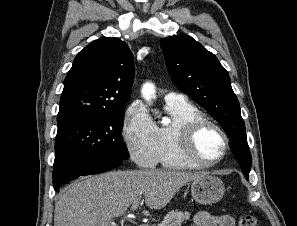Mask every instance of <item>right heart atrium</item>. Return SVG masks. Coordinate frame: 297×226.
Here are the masks:
<instances>
[{"instance_id": "obj_1", "label": "right heart atrium", "mask_w": 297, "mask_h": 226, "mask_svg": "<svg viewBox=\"0 0 297 226\" xmlns=\"http://www.w3.org/2000/svg\"><path fill=\"white\" fill-rule=\"evenodd\" d=\"M122 138L131 159L141 168H153L159 162L158 127L138 101L126 110Z\"/></svg>"}]
</instances>
